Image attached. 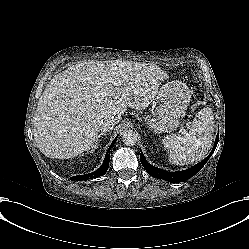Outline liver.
<instances>
[{
  "mask_svg": "<svg viewBox=\"0 0 249 249\" xmlns=\"http://www.w3.org/2000/svg\"><path fill=\"white\" fill-rule=\"evenodd\" d=\"M161 72L128 62H88L58 74L38 102L34 137L48 157L68 159L94 146L101 123L142 110L158 93Z\"/></svg>",
  "mask_w": 249,
  "mask_h": 249,
  "instance_id": "1",
  "label": "liver"
}]
</instances>
